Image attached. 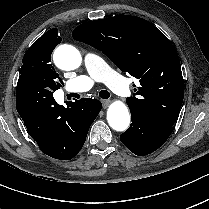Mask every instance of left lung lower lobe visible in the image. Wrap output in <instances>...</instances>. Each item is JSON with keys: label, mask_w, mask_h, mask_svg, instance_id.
Instances as JSON below:
<instances>
[{"label": "left lung lower lobe", "mask_w": 209, "mask_h": 209, "mask_svg": "<svg viewBox=\"0 0 209 209\" xmlns=\"http://www.w3.org/2000/svg\"><path fill=\"white\" fill-rule=\"evenodd\" d=\"M132 123L120 141L134 154L144 156L157 150L168 139L172 127L130 109Z\"/></svg>", "instance_id": "obj_1"}]
</instances>
